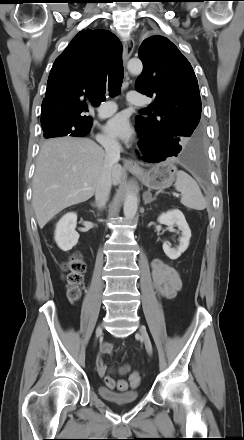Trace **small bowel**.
<instances>
[{
  "instance_id": "c3829d8e",
  "label": "small bowel",
  "mask_w": 244,
  "mask_h": 440,
  "mask_svg": "<svg viewBox=\"0 0 244 440\" xmlns=\"http://www.w3.org/2000/svg\"><path fill=\"white\" fill-rule=\"evenodd\" d=\"M151 267L154 285L159 295L167 299L175 297L182 286L178 271L160 259H154ZM111 353L112 346L108 343H104L96 359V369L100 377H104L107 372L115 370L108 368L104 361V356ZM129 370L130 367L128 365H123L117 369L121 375H125Z\"/></svg>"
}]
</instances>
